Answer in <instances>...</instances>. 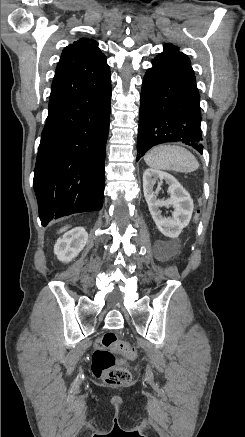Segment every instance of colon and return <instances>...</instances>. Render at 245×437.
Returning a JSON list of instances; mask_svg holds the SVG:
<instances>
[{"label":"colon","mask_w":245,"mask_h":437,"mask_svg":"<svg viewBox=\"0 0 245 437\" xmlns=\"http://www.w3.org/2000/svg\"><path fill=\"white\" fill-rule=\"evenodd\" d=\"M113 351L122 353L128 359H135L138 356V350L135 347L118 341L114 333L108 332L95 343L91 370L96 377L102 379L105 383L113 386H123L130 382L131 374L127 369L116 366Z\"/></svg>","instance_id":"colon-1"}]
</instances>
